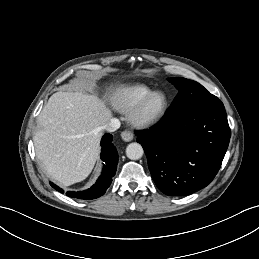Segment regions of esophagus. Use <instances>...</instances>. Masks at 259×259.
Listing matches in <instances>:
<instances>
[{"label":"esophagus","instance_id":"esophagus-1","mask_svg":"<svg viewBox=\"0 0 259 259\" xmlns=\"http://www.w3.org/2000/svg\"><path fill=\"white\" fill-rule=\"evenodd\" d=\"M121 138L126 142H130L133 140L134 135L131 131L125 130L121 133Z\"/></svg>","mask_w":259,"mask_h":259}]
</instances>
